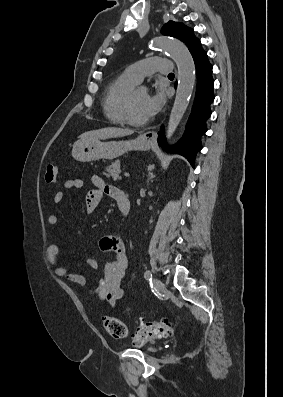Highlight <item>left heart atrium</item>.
Returning <instances> with one entry per match:
<instances>
[{"mask_svg": "<svg viewBox=\"0 0 283 397\" xmlns=\"http://www.w3.org/2000/svg\"><path fill=\"white\" fill-rule=\"evenodd\" d=\"M164 98L161 92H156L153 95H147L145 100V112L148 117L154 116L162 108Z\"/></svg>", "mask_w": 283, "mask_h": 397, "instance_id": "left-heart-atrium-1", "label": "left heart atrium"}]
</instances>
